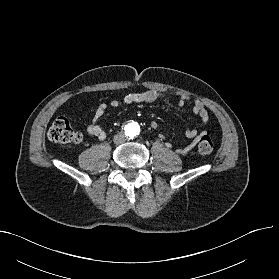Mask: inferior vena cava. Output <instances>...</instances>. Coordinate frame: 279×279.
<instances>
[{
	"label": "inferior vena cava",
	"mask_w": 279,
	"mask_h": 279,
	"mask_svg": "<svg viewBox=\"0 0 279 279\" xmlns=\"http://www.w3.org/2000/svg\"><path fill=\"white\" fill-rule=\"evenodd\" d=\"M113 140L115 144H121L125 141V136L122 133H118L114 136Z\"/></svg>",
	"instance_id": "602c4592"
}]
</instances>
